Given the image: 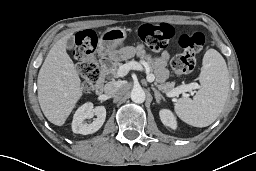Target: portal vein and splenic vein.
I'll use <instances>...</instances> for the list:
<instances>
[{
    "mask_svg": "<svg viewBox=\"0 0 256 171\" xmlns=\"http://www.w3.org/2000/svg\"><path fill=\"white\" fill-rule=\"evenodd\" d=\"M143 66L145 67L146 78L148 82H153L155 80L154 74L150 73L149 67L146 62H137V61H130L126 64H123L118 69V76L124 77L128 74L130 70H142ZM198 88L196 83H189L183 86H179L173 91L166 94L168 97H175L184 92H192L193 89Z\"/></svg>",
    "mask_w": 256,
    "mask_h": 171,
    "instance_id": "1",
    "label": "portal vein and splenic vein"
}]
</instances>
